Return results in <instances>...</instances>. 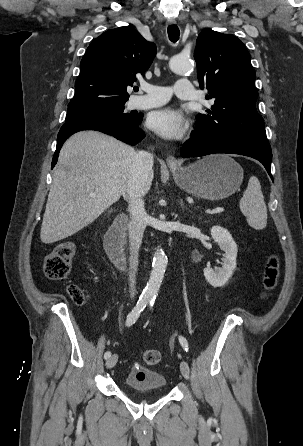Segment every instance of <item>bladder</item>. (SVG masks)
I'll use <instances>...</instances> for the list:
<instances>
[{
    "label": "bladder",
    "instance_id": "bladder-1",
    "mask_svg": "<svg viewBox=\"0 0 303 446\" xmlns=\"http://www.w3.org/2000/svg\"><path fill=\"white\" fill-rule=\"evenodd\" d=\"M124 384L128 389L138 392L163 391L167 386V379L158 371L135 366L127 373Z\"/></svg>",
    "mask_w": 303,
    "mask_h": 446
}]
</instances>
